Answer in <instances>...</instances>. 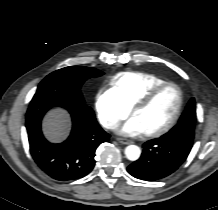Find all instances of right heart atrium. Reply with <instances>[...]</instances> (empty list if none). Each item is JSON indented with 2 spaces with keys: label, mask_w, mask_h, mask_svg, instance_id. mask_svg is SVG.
<instances>
[{
  "label": "right heart atrium",
  "mask_w": 218,
  "mask_h": 210,
  "mask_svg": "<svg viewBox=\"0 0 218 210\" xmlns=\"http://www.w3.org/2000/svg\"><path fill=\"white\" fill-rule=\"evenodd\" d=\"M94 106L98 119L107 129L117 128L130 114V108L111 88H101L96 93Z\"/></svg>",
  "instance_id": "d8ad5b80"
}]
</instances>
